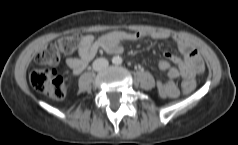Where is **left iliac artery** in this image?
Masks as SVG:
<instances>
[{"instance_id":"1","label":"left iliac artery","mask_w":238,"mask_h":145,"mask_svg":"<svg viewBox=\"0 0 238 145\" xmlns=\"http://www.w3.org/2000/svg\"><path fill=\"white\" fill-rule=\"evenodd\" d=\"M117 63H118V64H121V63H122V60H121V59H119Z\"/></svg>"}]
</instances>
